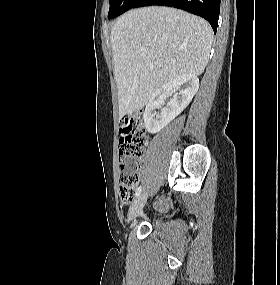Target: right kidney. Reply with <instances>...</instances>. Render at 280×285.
Masks as SVG:
<instances>
[{"label":"right kidney","mask_w":280,"mask_h":285,"mask_svg":"<svg viewBox=\"0 0 280 285\" xmlns=\"http://www.w3.org/2000/svg\"><path fill=\"white\" fill-rule=\"evenodd\" d=\"M199 88L195 74H183L157 89L149 99L144 111V123L148 132L157 133L177 117L191 102ZM179 91V92H176ZM176 92L167 106L157 112L164 104V98Z\"/></svg>","instance_id":"obj_1"}]
</instances>
